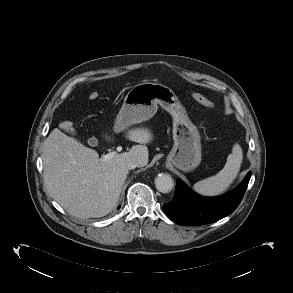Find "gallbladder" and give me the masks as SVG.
<instances>
[{
  "instance_id": "1",
  "label": "gallbladder",
  "mask_w": 293,
  "mask_h": 293,
  "mask_svg": "<svg viewBox=\"0 0 293 293\" xmlns=\"http://www.w3.org/2000/svg\"><path fill=\"white\" fill-rule=\"evenodd\" d=\"M70 133H71L72 135H75V131H74V130H72ZM92 141H94V139H92Z\"/></svg>"
}]
</instances>
